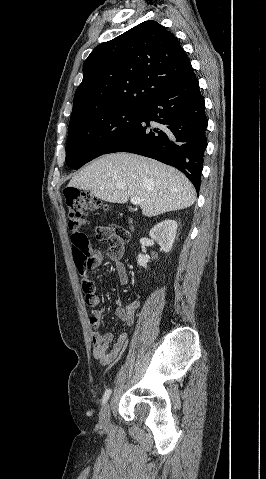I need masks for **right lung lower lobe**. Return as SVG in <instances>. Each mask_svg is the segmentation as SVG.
Segmentation results:
<instances>
[{"mask_svg": "<svg viewBox=\"0 0 266 479\" xmlns=\"http://www.w3.org/2000/svg\"><path fill=\"white\" fill-rule=\"evenodd\" d=\"M195 74L155 94L140 119L104 154L130 152L182 171L200 188L208 124Z\"/></svg>", "mask_w": 266, "mask_h": 479, "instance_id": "obj_1", "label": "right lung lower lobe"}]
</instances>
